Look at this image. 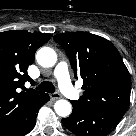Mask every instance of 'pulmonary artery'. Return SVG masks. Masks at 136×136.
Masks as SVG:
<instances>
[{
    "instance_id": "1",
    "label": "pulmonary artery",
    "mask_w": 136,
    "mask_h": 136,
    "mask_svg": "<svg viewBox=\"0 0 136 136\" xmlns=\"http://www.w3.org/2000/svg\"><path fill=\"white\" fill-rule=\"evenodd\" d=\"M54 76L58 80L61 91L70 99L79 98L78 92L74 89L70 82L68 66L65 62H60L54 70Z\"/></svg>"
}]
</instances>
